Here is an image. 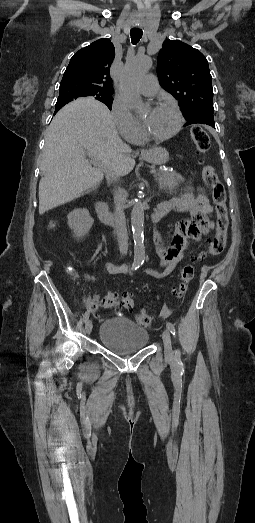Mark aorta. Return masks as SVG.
I'll list each match as a JSON object with an SVG mask.
<instances>
[{
    "label": "aorta",
    "mask_w": 255,
    "mask_h": 523,
    "mask_svg": "<svg viewBox=\"0 0 255 523\" xmlns=\"http://www.w3.org/2000/svg\"><path fill=\"white\" fill-rule=\"evenodd\" d=\"M151 66L152 60L147 56H137L129 60L125 65L124 74L121 79V91L128 106L137 112L143 109V102L137 90V85ZM143 223L144 207L141 200L137 199L131 212L134 259L137 261H143L145 259Z\"/></svg>",
    "instance_id": "762f6f07"
}]
</instances>
